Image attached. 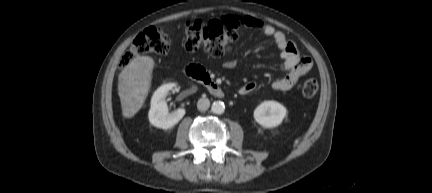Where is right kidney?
<instances>
[{
	"instance_id": "1",
	"label": "right kidney",
	"mask_w": 432,
	"mask_h": 193,
	"mask_svg": "<svg viewBox=\"0 0 432 193\" xmlns=\"http://www.w3.org/2000/svg\"><path fill=\"white\" fill-rule=\"evenodd\" d=\"M175 86V83L164 84L160 86L153 94L151 99V108L148 113L150 123L162 129H169L175 126L185 115L183 108L177 109L171 113L165 98L168 92Z\"/></svg>"
}]
</instances>
